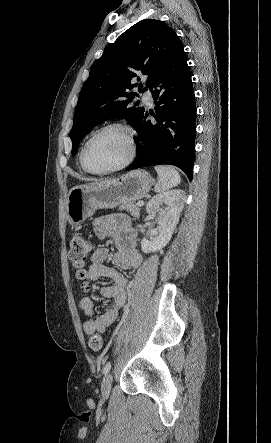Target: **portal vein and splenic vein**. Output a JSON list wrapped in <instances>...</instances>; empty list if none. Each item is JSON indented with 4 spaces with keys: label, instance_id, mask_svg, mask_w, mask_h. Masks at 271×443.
Returning a JSON list of instances; mask_svg holds the SVG:
<instances>
[{
    "label": "portal vein and splenic vein",
    "instance_id": "18ae733b",
    "mask_svg": "<svg viewBox=\"0 0 271 443\" xmlns=\"http://www.w3.org/2000/svg\"><path fill=\"white\" fill-rule=\"evenodd\" d=\"M137 206H143V202H137Z\"/></svg>",
    "mask_w": 271,
    "mask_h": 443
}]
</instances>
